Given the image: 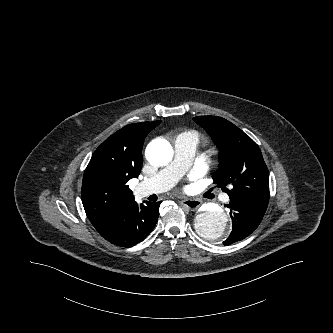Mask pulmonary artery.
I'll list each match as a JSON object with an SVG mask.
<instances>
[{
	"instance_id": "e3ab8cb5",
	"label": "pulmonary artery",
	"mask_w": 333,
	"mask_h": 333,
	"mask_svg": "<svg viewBox=\"0 0 333 333\" xmlns=\"http://www.w3.org/2000/svg\"><path fill=\"white\" fill-rule=\"evenodd\" d=\"M174 160L155 176L143 180L137 187L142 196L164 192L175 185L187 170L198 148L197 138L188 133L180 134L174 141ZM227 200L228 197L225 196Z\"/></svg>"
}]
</instances>
